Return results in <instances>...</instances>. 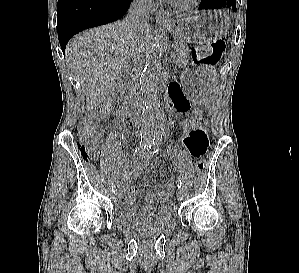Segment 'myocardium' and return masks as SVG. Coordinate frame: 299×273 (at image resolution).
Returning <instances> with one entry per match:
<instances>
[{"label":"myocardium","instance_id":"obj_1","mask_svg":"<svg viewBox=\"0 0 299 273\" xmlns=\"http://www.w3.org/2000/svg\"><path fill=\"white\" fill-rule=\"evenodd\" d=\"M169 4V6L177 11V12H182V13H186V12H190L193 9H195L198 4L200 3L201 0H190L188 3L186 4H179L173 0H166Z\"/></svg>","mask_w":299,"mask_h":273}]
</instances>
